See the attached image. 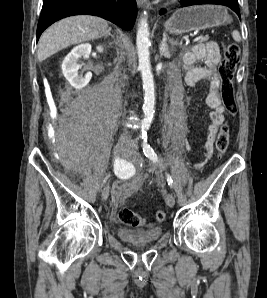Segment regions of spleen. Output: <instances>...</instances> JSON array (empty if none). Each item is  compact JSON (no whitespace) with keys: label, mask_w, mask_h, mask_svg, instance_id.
<instances>
[{"label":"spleen","mask_w":267,"mask_h":298,"mask_svg":"<svg viewBox=\"0 0 267 298\" xmlns=\"http://www.w3.org/2000/svg\"><path fill=\"white\" fill-rule=\"evenodd\" d=\"M232 37H233V39H234L236 42H240V41H241V36H240V34H239L238 31H233V32H232Z\"/></svg>","instance_id":"spleen-1"}]
</instances>
